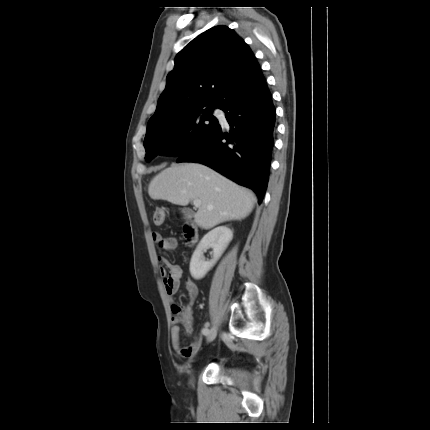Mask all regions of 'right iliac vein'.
<instances>
[{
	"mask_svg": "<svg viewBox=\"0 0 430 430\" xmlns=\"http://www.w3.org/2000/svg\"><path fill=\"white\" fill-rule=\"evenodd\" d=\"M216 336H217V327L214 326L210 329V331L207 334V341L208 342L213 341L216 338Z\"/></svg>",
	"mask_w": 430,
	"mask_h": 430,
	"instance_id": "63e3f726",
	"label": "right iliac vein"
}]
</instances>
